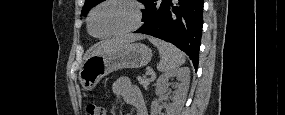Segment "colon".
<instances>
[{
  "instance_id": "colon-1",
  "label": "colon",
  "mask_w": 285,
  "mask_h": 115,
  "mask_svg": "<svg viewBox=\"0 0 285 115\" xmlns=\"http://www.w3.org/2000/svg\"><path fill=\"white\" fill-rule=\"evenodd\" d=\"M86 111L88 115H104L105 109L96 102H91L87 105Z\"/></svg>"
}]
</instances>
